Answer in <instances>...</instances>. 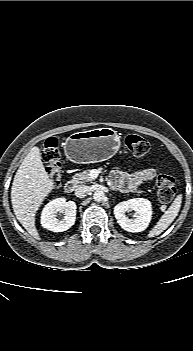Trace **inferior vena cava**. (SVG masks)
I'll return each instance as SVG.
<instances>
[{
    "instance_id": "obj_1",
    "label": "inferior vena cava",
    "mask_w": 193,
    "mask_h": 351,
    "mask_svg": "<svg viewBox=\"0 0 193 351\" xmlns=\"http://www.w3.org/2000/svg\"><path fill=\"white\" fill-rule=\"evenodd\" d=\"M90 191L89 186L87 185H78L75 189V196L78 198H84L87 193Z\"/></svg>"
}]
</instances>
